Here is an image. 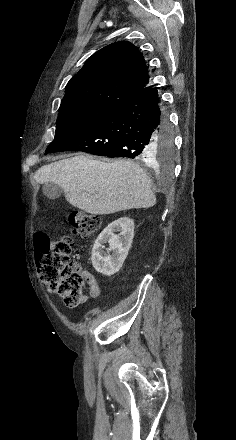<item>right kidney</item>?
Returning <instances> with one entry per match:
<instances>
[{
    "label": "right kidney",
    "mask_w": 236,
    "mask_h": 440,
    "mask_svg": "<svg viewBox=\"0 0 236 440\" xmlns=\"http://www.w3.org/2000/svg\"><path fill=\"white\" fill-rule=\"evenodd\" d=\"M133 238L134 221L129 217H121L110 223L94 243L91 256L94 269L106 276L117 273L128 255ZM106 243L109 248L105 252Z\"/></svg>",
    "instance_id": "1"
}]
</instances>
